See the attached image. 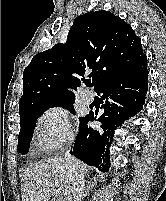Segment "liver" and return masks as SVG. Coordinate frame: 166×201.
Here are the masks:
<instances>
[{
  "label": "liver",
  "instance_id": "obj_1",
  "mask_svg": "<svg viewBox=\"0 0 166 201\" xmlns=\"http://www.w3.org/2000/svg\"><path fill=\"white\" fill-rule=\"evenodd\" d=\"M77 162L86 174L87 165ZM21 181L22 201H49L50 197H57V201H71L72 178L64 156H55L29 166L23 171ZM49 191H56L58 196Z\"/></svg>",
  "mask_w": 166,
  "mask_h": 201
}]
</instances>
